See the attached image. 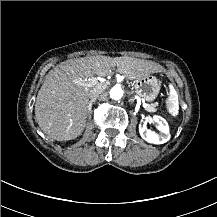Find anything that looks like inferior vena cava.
I'll return each instance as SVG.
<instances>
[{
    "label": "inferior vena cava",
    "mask_w": 217,
    "mask_h": 217,
    "mask_svg": "<svg viewBox=\"0 0 217 217\" xmlns=\"http://www.w3.org/2000/svg\"><path fill=\"white\" fill-rule=\"evenodd\" d=\"M107 83H98L96 86H94L90 91H89V97L91 99H96L99 94H101L106 88H107Z\"/></svg>",
    "instance_id": "inferior-vena-cava-1"
}]
</instances>
